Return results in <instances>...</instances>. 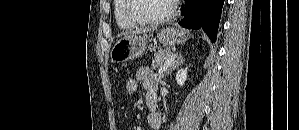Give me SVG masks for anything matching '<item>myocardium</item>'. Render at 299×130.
I'll return each instance as SVG.
<instances>
[{
	"instance_id": "obj_1",
	"label": "myocardium",
	"mask_w": 299,
	"mask_h": 130,
	"mask_svg": "<svg viewBox=\"0 0 299 130\" xmlns=\"http://www.w3.org/2000/svg\"><path fill=\"white\" fill-rule=\"evenodd\" d=\"M133 1L134 0H126L125 15L129 21H131L136 25H153V24L165 23L174 16L176 10V3L171 2L169 10L165 15L160 17H154V18H140L137 15H135L132 11Z\"/></svg>"
}]
</instances>
